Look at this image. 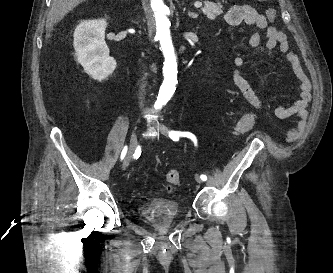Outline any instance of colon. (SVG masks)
I'll list each match as a JSON object with an SVG mask.
<instances>
[{"mask_svg":"<svg viewBox=\"0 0 333 273\" xmlns=\"http://www.w3.org/2000/svg\"><path fill=\"white\" fill-rule=\"evenodd\" d=\"M277 13L275 9H268L266 11V17L269 21H274L276 19ZM256 123V116L251 113L243 114L238 120L235 126V133L237 135H242L250 131ZM167 190L171 191L180 183V176L177 171L171 170L166 174Z\"/></svg>","mask_w":333,"mask_h":273,"instance_id":"1","label":"colon"}]
</instances>
